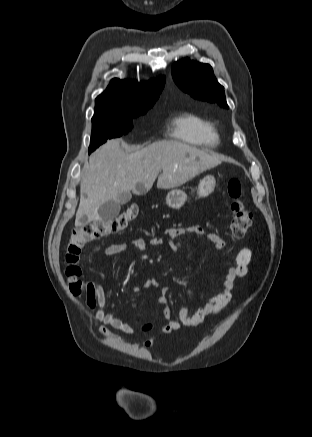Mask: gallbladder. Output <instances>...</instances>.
Instances as JSON below:
<instances>
[{
    "label": "gallbladder",
    "instance_id": "obj_1",
    "mask_svg": "<svg viewBox=\"0 0 312 437\" xmlns=\"http://www.w3.org/2000/svg\"><path fill=\"white\" fill-rule=\"evenodd\" d=\"M131 193L128 191L120 193L118 200H109L102 204L98 209V214L102 221H111L120 213V205L126 204L131 200Z\"/></svg>",
    "mask_w": 312,
    "mask_h": 437
}]
</instances>
